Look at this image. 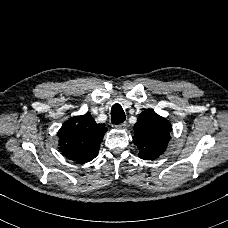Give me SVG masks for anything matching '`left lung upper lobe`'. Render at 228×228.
Masks as SVG:
<instances>
[{"instance_id":"5c2ea615","label":"left lung upper lobe","mask_w":228,"mask_h":228,"mask_svg":"<svg viewBox=\"0 0 228 228\" xmlns=\"http://www.w3.org/2000/svg\"><path fill=\"white\" fill-rule=\"evenodd\" d=\"M172 127L168 120L153 110L143 111L134 125V144L139 149V157L154 160L164 153L170 141Z\"/></svg>"}]
</instances>
